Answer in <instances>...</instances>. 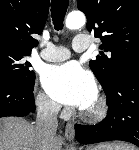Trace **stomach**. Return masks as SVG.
<instances>
[{
    "label": "stomach",
    "mask_w": 139,
    "mask_h": 150,
    "mask_svg": "<svg viewBox=\"0 0 139 150\" xmlns=\"http://www.w3.org/2000/svg\"><path fill=\"white\" fill-rule=\"evenodd\" d=\"M89 150H114V149H113V145H110V144H100V145L92 147Z\"/></svg>",
    "instance_id": "0dacf381"
}]
</instances>
